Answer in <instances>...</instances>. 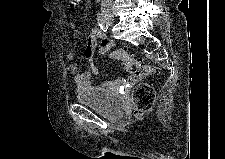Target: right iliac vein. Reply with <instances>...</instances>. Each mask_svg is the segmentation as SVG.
<instances>
[{
  "mask_svg": "<svg viewBox=\"0 0 225 159\" xmlns=\"http://www.w3.org/2000/svg\"><path fill=\"white\" fill-rule=\"evenodd\" d=\"M107 18H109V19H113V14L112 13H110V12H108V14H107Z\"/></svg>",
  "mask_w": 225,
  "mask_h": 159,
  "instance_id": "obj_1",
  "label": "right iliac vein"
}]
</instances>
